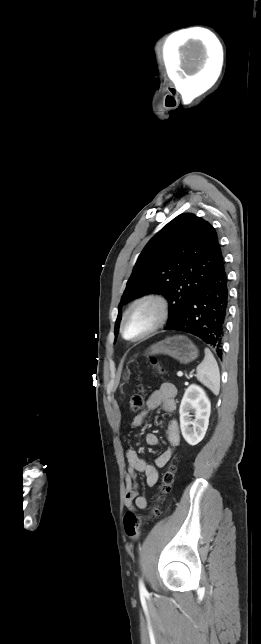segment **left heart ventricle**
Returning a JSON list of instances; mask_svg holds the SVG:
<instances>
[{
  "label": "left heart ventricle",
  "instance_id": "b2bd125f",
  "mask_svg": "<svg viewBox=\"0 0 261 644\" xmlns=\"http://www.w3.org/2000/svg\"><path fill=\"white\" fill-rule=\"evenodd\" d=\"M156 308L148 303L135 307L126 323V336L135 338L151 327L156 319Z\"/></svg>",
  "mask_w": 261,
  "mask_h": 644
}]
</instances>
